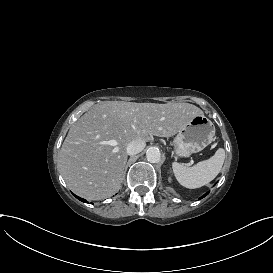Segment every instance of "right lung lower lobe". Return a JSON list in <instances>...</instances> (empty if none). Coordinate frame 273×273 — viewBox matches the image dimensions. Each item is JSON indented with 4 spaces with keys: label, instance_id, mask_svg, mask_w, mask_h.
I'll return each mask as SVG.
<instances>
[{
    "label": "right lung lower lobe",
    "instance_id": "98d812e1",
    "mask_svg": "<svg viewBox=\"0 0 273 273\" xmlns=\"http://www.w3.org/2000/svg\"><path fill=\"white\" fill-rule=\"evenodd\" d=\"M75 197L78 198V199H79L80 201H82V202H86L85 199H82V198H80V197H78V196H76V195H75Z\"/></svg>",
    "mask_w": 273,
    "mask_h": 273
}]
</instances>
